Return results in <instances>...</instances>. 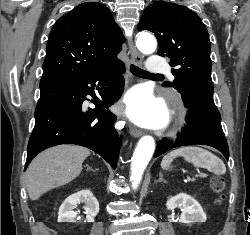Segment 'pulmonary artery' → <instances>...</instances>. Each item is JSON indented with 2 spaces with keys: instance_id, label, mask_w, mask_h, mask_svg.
I'll return each mask as SVG.
<instances>
[{
  "instance_id": "obj_1",
  "label": "pulmonary artery",
  "mask_w": 250,
  "mask_h": 235,
  "mask_svg": "<svg viewBox=\"0 0 250 235\" xmlns=\"http://www.w3.org/2000/svg\"><path fill=\"white\" fill-rule=\"evenodd\" d=\"M147 70L151 74L169 73V67L164 58L158 54H152L147 63Z\"/></svg>"
}]
</instances>
